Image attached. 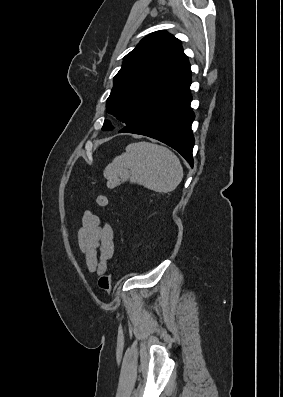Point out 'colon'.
<instances>
[{"label": "colon", "mask_w": 283, "mask_h": 397, "mask_svg": "<svg viewBox=\"0 0 283 397\" xmlns=\"http://www.w3.org/2000/svg\"><path fill=\"white\" fill-rule=\"evenodd\" d=\"M97 204L100 207H106L108 205V198L106 195L100 194L97 196ZM98 285L102 291L109 292L112 287V275L104 274L100 277Z\"/></svg>", "instance_id": "colon-1"}]
</instances>
